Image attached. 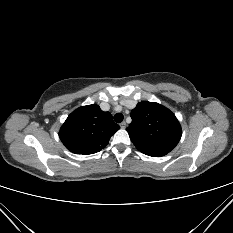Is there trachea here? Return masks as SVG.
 <instances>
[{"label":"trachea","mask_w":233,"mask_h":233,"mask_svg":"<svg viewBox=\"0 0 233 233\" xmlns=\"http://www.w3.org/2000/svg\"><path fill=\"white\" fill-rule=\"evenodd\" d=\"M123 119H124V116H123V114H121V113H116V114L114 115V120H115V122H117V123H121V122L123 121Z\"/></svg>","instance_id":"1"}]
</instances>
